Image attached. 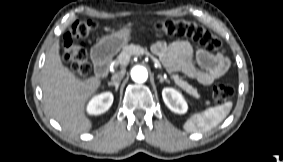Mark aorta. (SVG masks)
Masks as SVG:
<instances>
[{
  "label": "aorta",
  "mask_w": 283,
  "mask_h": 162,
  "mask_svg": "<svg viewBox=\"0 0 283 162\" xmlns=\"http://www.w3.org/2000/svg\"><path fill=\"white\" fill-rule=\"evenodd\" d=\"M131 78L137 83H143L148 78V72L143 66H135L131 70Z\"/></svg>",
  "instance_id": "aorta-1"
}]
</instances>
